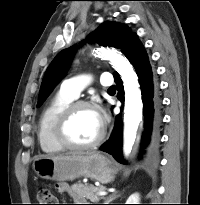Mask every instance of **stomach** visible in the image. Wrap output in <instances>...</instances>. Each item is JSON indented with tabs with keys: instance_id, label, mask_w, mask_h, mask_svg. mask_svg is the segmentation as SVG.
<instances>
[{
	"instance_id": "stomach-1",
	"label": "stomach",
	"mask_w": 200,
	"mask_h": 205,
	"mask_svg": "<svg viewBox=\"0 0 200 205\" xmlns=\"http://www.w3.org/2000/svg\"><path fill=\"white\" fill-rule=\"evenodd\" d=\"M33 169L43 179L58 181L88 177L109 183L117 172L114 163L100 153L41 156L34 160Z\"/></svg>"
}]
</instances>
